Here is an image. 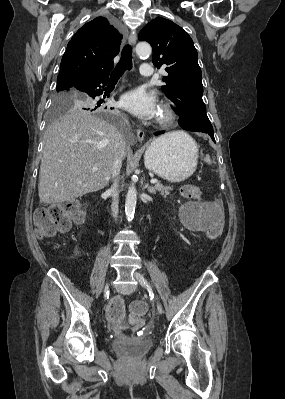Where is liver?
Instances as JSON below:
<instances>
[{
  "label": "liver",
  "instance_id": "1",
  "mask_svg": "<svg viewBox=\"0 0 285 399\" xmlns=\"http://www.w3.org/2000/svg\"><path fill=\"white\" fill-rule=\"evenodd\" d=\"M181 135L177 131L163 137ZM122 139L123 135L111 124L77 109L55 121L43 147L40 203L58 204L106 187Z\"/></svg>",
  "mask_w": 285,
  "mask_h": 399
}]
</instances>
